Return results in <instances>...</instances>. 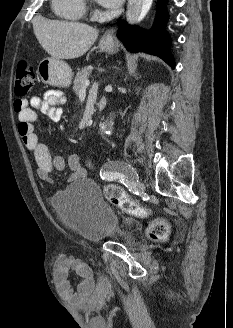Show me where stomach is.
Wrapping results in <instances>:
<instances>
[{
	"label": "stomach",
	"mask_w": 233,
	"mask_h": 328,
	"mask_svg": "<svg viewBox=\"0 0 233 328\" xmlns=\"http://www.w3.org/2000/svg\"><path fill=\"white\" fill-rule=\"evenodd\" d=\"M99 49L103 52L115 53L117 45L112 37L103 36L99 41ZM37 73L42 82L52 86L66 88L71 84V68L60 59L53 57L43 59L38 65Z\"/></svg>",
	"instance_id": "0dacf381"
}]
</instances>
